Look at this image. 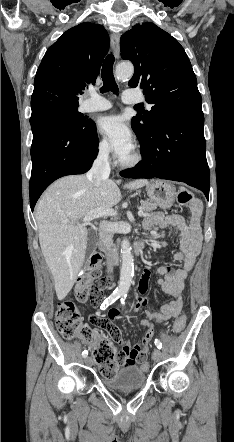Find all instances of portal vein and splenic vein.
Listing matches in <instances>:
<instances>
[{"mask_svg": "<svg viewBox=\"0 0 234 442\" xmlns=\"http://www.w3.org/2000/svg\"><path fill=\"white\" fill-rule=\"evenodd\" d=\"M117 215V211L112 209V208H105V209H96L90 213H88L84 218H83V223L87 224L88 222H90L91 220L95 219V218H99V217H105V216H116ZM138 215L140 217H144L146 216V213H144V211L142 209H140L138 211Z\"/></svg>", "mask_w": 234, "mask_h": 442, "instance_id": "1", "label": "portal vein and splenic vein"}]
</instances>
